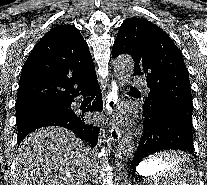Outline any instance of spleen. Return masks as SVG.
Returning a JSON list of instances; mask_svg holds the SVG:
<instances>
[{
	"instance_id": "obj_1",
	"label": "spleen",
	"mask_w": 207,
	"mask_h": 185,
	"mask_svg": "<svg viewBox=\"0 0 207 185\" xmlns=\"http://www.w3.org/2000/svg\"><path fill=\"white\" fill-rule=\"evenodd\" d=\"M179 156V151L170 153H155L156 163H170V170L166 174H157L153 183L161 185H195L198 182L199 174L194 170L192 158L172 159ZM148 163H154V158H148ZM177 164V167H176Z\"/></svg>"
}]
</instances>
